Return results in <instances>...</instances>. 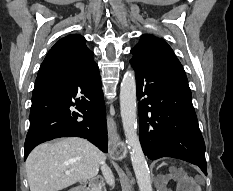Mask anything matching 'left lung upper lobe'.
<instances>
[{
    "mask_svg": "<svg viewBox=\"0 0 233 191\" xmlns=\"http://www.w3.org/2000/svg\"><path fill=\"white\" fill-rule=\"evenodd\" d=\"M131 60L153 65L186 78L185 71L170 46L153 35L144 34L131 50Z\"/></svg>",
    "mask_w": 233,
    "mask_h": 191,
    "instance_id": "1",
    "label": "left lung upper lobe"
}]
</instances>
